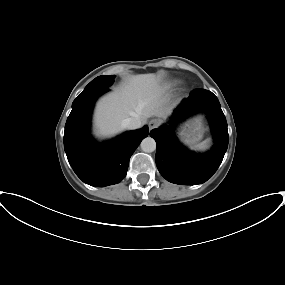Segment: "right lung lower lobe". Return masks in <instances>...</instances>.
Returning a JSON list of instances; mask_svg holds the SVG:
<instances>
[{
  "instance_id": "98d812e1",
  "label": "right lung lower lobe",
  "mask_w": 285,
  "mask_h": 285,
  "mask_svg": "<svg viewBox=\"0 0 285 285\" xmlns=\"http://www.w3.org/2000/svg\"><path fill=\"white\" fill-rule=\"evenodd\" d=\"M108 90L77 97L64 131V149L71 167L83 182L96 187L117 184L126 176L131 155L149 131L145 126L105 143L94 141L89 132L91 112L96 99Z\"/></svg>"
}]
</instances>
